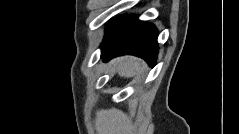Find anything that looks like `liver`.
<instances>
[{
  "mask_svg": "<svg viewBox=\"0 0 239 134\" xmlns=\"http://www.w3.org/2000/svg\"><path fill=\"white\" fill-rule=\"evenodd\" d=\"M110 67L120 77L132 78L142 71L143 62L134 57H121L111 61Z\"/></svg>",
  "mask_w": 239,
  "mask_h": 134,
  "instance_id": "1",
  "label": "liver"
}]
</instances>
